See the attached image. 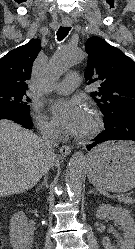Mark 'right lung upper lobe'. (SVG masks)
I'll use <instances>...</instances> for the list:
<instances>
[{
    "label": "right lung upper lobe",
    "mask_w": 135,
    "mask_h": 249,
    "mask_svg": "<svg viewBox=\"0 0 135 249\" xmlns=\"http://www.w3.org/2000/svg\"><path fill=\"white\" fill-rule=\"evenodd\" d=\"M39 39L8 52L0 59V91H26L32 64L41 46Z\"/></svg>",
    "instance_id": "1"
}]
</instances>
